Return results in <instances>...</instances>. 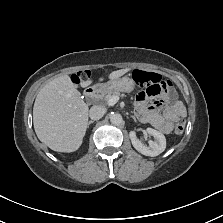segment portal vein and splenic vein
<instances>
[{
    "mask_svg": "<svg viewBox=\"0 0 223 223\" xmlns=\"http://www.w3.org/2000/svg\"><path fill=\"white\" fill-rule=\"evenodd\" d=\"M119 100V96H112L109 100H108V105L109 106H114Z\"/></svg>",
    "mask_w": 223,
    "mask_h": 223,
    "instance_id": "1",
    "label": "portal vein and splenic vein"
}]
</instances>
